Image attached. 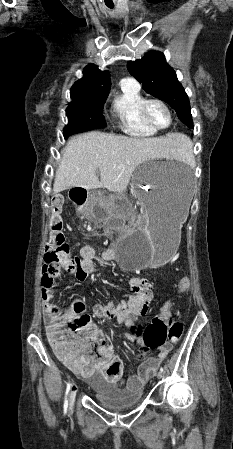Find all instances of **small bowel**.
I'll return each mask as SVG.
<instances>
[{"label":"small bowel","instance_id":"1","mask_svg":"<svg viewBox=\"0 0 233 449\" xmlns=\"http://www.w3.org/2000/svg\"><path fill=\"white\" fill-rule=\"evenodd\" d=\"M114 259L115 254L111 249L98 253L90 246H83L80 248L73 265H65L62 263L44 264L41 274V294L44 301L49 303L54 299L55 280L62 273V268L73 273L79 281H84L88 276L96 273L95 260L108 262ZM129 287L133 292L131 296L123 298L118 302L110 299L106 305H95L94 311L99 318L114 319L130 328V330L135 326L140 330L137 325V320L146 312L148 305L153 299L152 286L148 278L139 276L138 278H131L129 280ZM126 339L130 342H136L132 337L127 336V334ZM168 350L167 348H160L157 358L148 357L138 369L137 374L128 377L126 383L132 387L144 384L154 375L157 367L167 355ZM73 354L82 361L81 366L75 369L82 376H105L110 383H124L123 364L120 359L114 356L112 346L103 357V360L108 362L107 366L98 360L92 354L91 350L85 352L78 351Z\"/></svg>","mask_w":233,"mask_h":449}]
</instances>
